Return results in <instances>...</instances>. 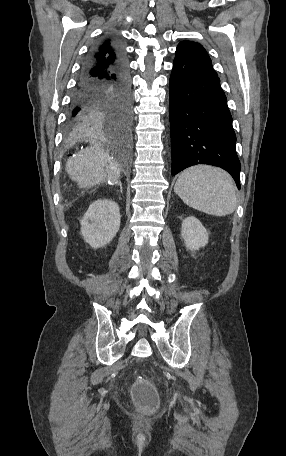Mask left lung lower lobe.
I'll list each match as a JSON object with an SVG mask.
<instances>
[{"label": "left lung lower lobe", "instance_id": "left-lung-lower-lobe-1", "mask_svg": "<svg viewBox=\"0 0 286 456\" xmlns=\"http://www.w3.org/2000/svg\"><path fill=\"white\" fill-rule=\"evenodd\" d=\"M171 174L197 164L228 171L240 189L236 135L218 75L174 61L170 78Z\"/></svg>", "mask_w": 286, "mask_h": 456}]
</instances>
